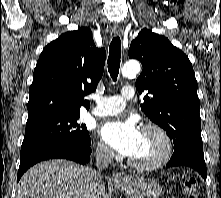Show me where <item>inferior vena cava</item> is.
<instances>
[{
  "mask_svg": "<svg viewBox=\"0 0 221 198\" xmlns=\"http://www.w3.org/2000/svg\"><path fill=\"white\" fill-rule=\"evenodd\" d=\"M113 152L107 146H98L96 149V167L98 170H90L89 177L94 184H99L102 182V170L108 167V164L113 159Z\"/></svg>",
  "mask_w": 221,
  "mask_h": 198,
  "instance_id": "obj_1",
  "label": "inferior vena cava"
}]
</instances>
